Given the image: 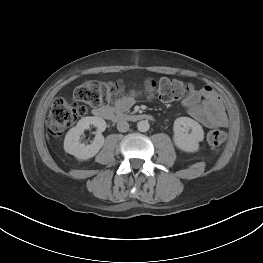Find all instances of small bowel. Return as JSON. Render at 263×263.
<instances>
[{"mask_svg":"<svg viewBox=\"0 0 263 263\" xmlns=\"http://www.w3.org/2000/svg\"><path fill=\"white\" fill-rule=\"evenodd\" d=\"M136 92L122 97L117 107L121 111L129 109L136 100ZM188 114L202 125L212 127H223L227 125V116L223 103L211 86H204L185 98L182 102Z\"/></svg>","mask_w":263,"mask_h":263,"instance_id":"1","label":"small bowel"}]
</instances>
